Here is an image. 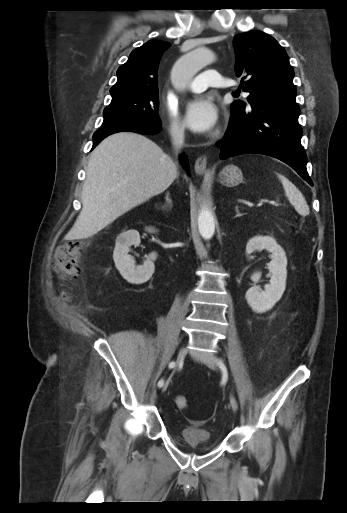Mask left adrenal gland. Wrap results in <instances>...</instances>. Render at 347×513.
<instances>
[{
    "label": "left adrenal gland",
    "instance_id": "a2214340",
    "mask_svg": "<svg viewBox=\"0 0 347 513\" xmlns=\"http://www.w3.org/2000/svg\"><path fill=\"white\" fill-rule=\"evenodd\" d=\"M235 212H236V216H235L234 218H237V217L242 216V214H241V213H240V211H239V206H238V205H237V206H235Z\"/></svg>",
    "mask_w": 347,
    "mask_h": 513
}]
</instances>
